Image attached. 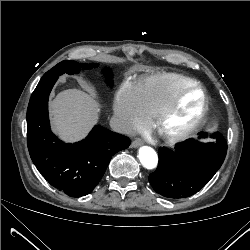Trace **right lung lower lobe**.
Here are the masks:
<instances>
[{
    "label": "right lung lower lobe",
    "mask_w": 250,
    "mask_h": 250,
    "mask_svg": "<svg viewBox=\"0 0 250 250\" xmlns=\"http://www.w3.org/2000/svg\"><path fill=\"white\" fill-rule=\"evenodd\" d=\"M58 77L40 80L27 109V144L39 172L55 188L71 197L89 194L99 183L112 156L130 140L95 126L82 141L66 144L50 130L48 97Z\"/></svg>",
    "instance_id": "right-lung-lower-lobe-1"
}]
</instances>
